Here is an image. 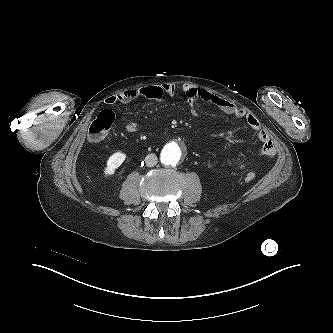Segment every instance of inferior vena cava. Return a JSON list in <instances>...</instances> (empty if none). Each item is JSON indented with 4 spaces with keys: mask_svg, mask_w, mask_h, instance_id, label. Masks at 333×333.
Instances as JSON below:
<instances>
[{
    "mask_svg": "<svg viewBox=\"0 0 333 333\" xmlns=\"http://www.w3.org/2000/svg\"><path fill=\"white\" fill-rule=\"evenodd\" d=\"M158 158L155 154L150 153L145 157V163L147 167H153L157 164Z\"/></svg>",
    "mask_w": 333,
    "mask_h": 333,
    "instance_id": "inferior-vena-cava-1",
    "label": "inferior vena cava"
}]
</instances>
